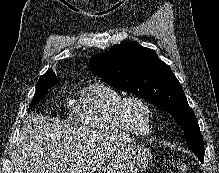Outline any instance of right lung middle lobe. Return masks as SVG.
<instances>
[{
	"instance_id": "dd1d6c3e",
	"label": "right lung middle lobe",
	"mask_w": 219,
	"mask_h": 173,
	"mask_svg": "<svg viewBox=\"0 0 219 173\" xmlns=\"http://www.w3.org/2000/svg\"><path fill=\"white\" fill-rule=\"evenodd\" d=\"M55 78L56 77L53 75H45L40 77L36 86V92L29 106V109L35 107L48 92V89L57 83V81H55Z\"/></svg>"
}]
</instances>
